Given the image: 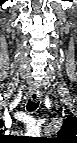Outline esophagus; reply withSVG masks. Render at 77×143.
Listing matches in <instances>:
<instances>
[{
	"mask_svg": "<svg viewBox=\"0 0 77 143\" xmlns=\"http://www.w3.org/2000/svg\"><path fill=\"white\" fill-rule=\"evenodd\" d=\"M30 99L34 102H37L40 99V94L39 93H30Z\"/></svg>",
	"mask_w": 77,
	"mask_h": 143,
	"instance_id": "obj_1",
	"label": "esophagus"
}]
</instances>
